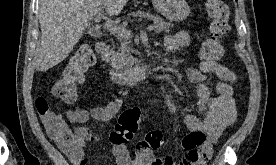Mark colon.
Instances as JSON below:
<instances>
[{
  "instance_id": "5ec220e1",
  "label": "colon",
  "mask_w": 276,
  "mask_h": 165,
  "mask_svg": "<svg viewBox=\"0 0 276 165\" xmlns=\"http://www.w3.org/2000/svg\"><path fill=\"white\" fill-rule=\"evenodd\" d=\"M206 12L211 20L209 36L203 42L200 56L205 61H217L223 56V40L230 30V10L224 0H206ZM94 54L90 46H81L70 57L67 65L62 70L59 79L54 83L52 92L54 96L64 102H73L79 94V87L83 83L85 71L94 63ZM35 106L40 117L48 121L50 136L67 148H73L75 136L64 125L62 118L53 112L47 101L39 97ZM143 113L139 108H130L124 111L110 134L114 145L128 143L138 130L139 121ZM46 128V127H45ZM163 142L161 131H149L144 139L137 144V151L152 153L160 148ZM206 142V135L202 132H190L182 140V148L189 155H193Z\"/></svg>"
}]
</instances>
